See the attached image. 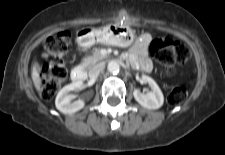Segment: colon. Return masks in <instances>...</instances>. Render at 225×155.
I'll return each mask as SVG.
<instances>
[{
  "mask_svg": "<svg viewBox=\"0 0 225 155\" xmlns=\"http://www.w3.org/2000/svg\"><path fill=\"white\" fill-rule=\"evenodd\" d=\"M71 43V35L61 31L49 36L44 43L43 58L45 65L41 72V96L45 100L52 99L68 75L63 61ZM150 54L163 65L167 74L175 72L177 64H183L190 58V49L180 41L169 38H157L150 42ZM187 95L184 84H177L169 93L167 101L170 105L180 104Z\"/></svg>",
  "mask_w": 225,
  "mask_h": 155,
  "instance_id": "colon-1",
  "label": "colon"
}]
</instances>
